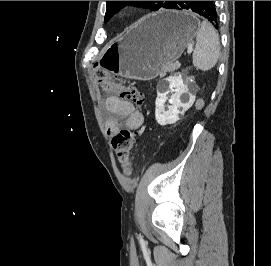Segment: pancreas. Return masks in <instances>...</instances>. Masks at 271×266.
I'll use <instances>...</instances> for the list:
<instances>
[{
  "instance_id": "1",
  "label": "pancreas",
  "mask_w": 271,
  "mask_h": 266,
  "mask_svg": "<svg viewBox=\"0 0 271 266\" xmlns=\"http://www.w3.org/2000/svg\"><path fill=\"white\" fill-rule=\"evenodd\" d=\"M179 68L177 63H170L167 66L164 67L162 72L160 73L161 76H165L167 72H173Z\"/></svg>"
}]
</instances>
